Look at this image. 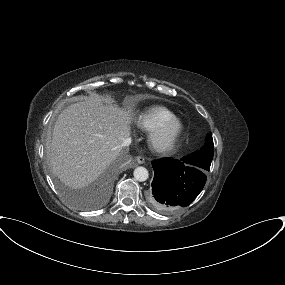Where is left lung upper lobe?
Listing matches in <instances>:
<instances>
[{
    "instance_id": "1",
    "label": "left lung upper lobe",
    "mask_w": 285,
    "mask_h": 285,
    "mask_svg": "<svg viewBox=\"0 0 285 285\" xmlns=\"http://www.w3.org/2000/svg\"><path fill=\"white\" fill-rule=\"evenodd\" d=\"M213 155H214L213 139H212V134L209 133L206 137L204 146L199 151H195L190 155L183 157V160L185 162H189L193 165L203 168L204 170L209 171Z\"/></svg>"
}]
</instances>
